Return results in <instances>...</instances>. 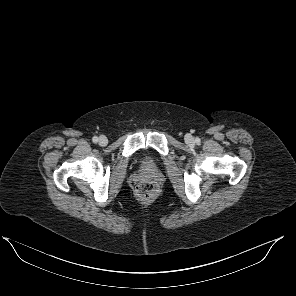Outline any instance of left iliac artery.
Returning a JSON list of instances; mask_svg holds the SVG:
<instances>
[{"mask_svg":"<svg viewBox=\"0 0 296 296\" xmlns=\"http://www.w3.org/2000/svg\"><path fill=\"white\" fill-rule=\"evenodd\" d=\"M196 141L199 142V139L197 138Z\"/></svg>","mask_w":296,"mask_h":296,"instance_id":"44dca946","label":"left iliac artery"}]
</instances>
